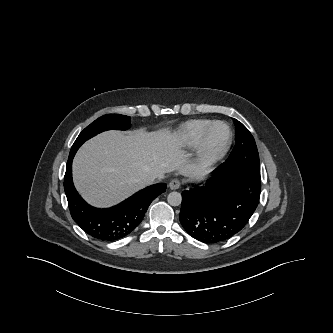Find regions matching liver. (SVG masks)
Masks as SVG:
<instances>
[{
    "label": "liver",
    "mask_w": 333,
    "mask_h": 333,
    "mask_svg": "<svg viewBox=\"0 0 333 333\" xmlns=\"http://www.w3.org/2000/svg\"><path fill=\"white\" fill-rule=\"evenodd\" d=\"M182 143L168 129L129 134L107 131L87 141L73 160L76 189L91 205L112 206L147 184V175L166 173L196 178L200 170L189 163Z\"/></svg>",
    "instance_id": "liver-1"
}]
</instances>
